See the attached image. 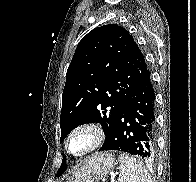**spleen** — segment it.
I'll list each match as a JSON object with an SVG mask.
<instances>
[{
  "label": "spleen",
  "instance_id": "1",
  "mask_svg": "<svg viewBox=\"0 0 196 182\" xmlns=\"http://www.w3.org/2000/svg\"><path fill=\"white\" fill-rule=\"evenodd\" d=\"M120 173L118 182H152L149 173L133 156L122 153L119 156Z\"/></svg>",
  "mask_w": 196,
  "mask_h": 182
}]
</instances>
